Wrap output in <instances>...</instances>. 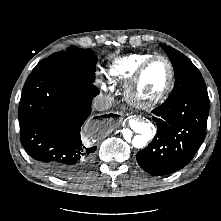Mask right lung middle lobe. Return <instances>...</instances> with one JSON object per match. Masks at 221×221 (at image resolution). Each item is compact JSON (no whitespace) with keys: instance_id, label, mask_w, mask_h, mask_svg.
I'll list each match as a JSON object with an SVG mask.
<instances>
[{"instance_id":"dd1d6c3e","label":"right lung middle lobe","mask_w":221,"mask_h":221,"mask_svg":"<svg viewBox=\"0 0 221 221\" xmlns=\"http://www.w3.org/2000/svg\"><path fill=\"white\" fill-rule=\"evenodd\" d=\"M96 63L97 58L91 49L69 47L43 59L34 69L52 66L73 77L94 82Z\"/></svg>"}]
</instances>
